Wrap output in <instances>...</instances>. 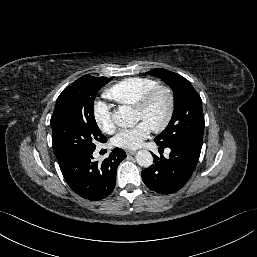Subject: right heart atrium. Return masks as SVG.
<instances>
[{"mask_svg":"<svg viewBox=\"0 0 257 257\" xmlns=\"http://www.w3.org/2000/svg\"><path fill=\"white\" fill-rule=\"evenodd\" d=\"M104 107L103 104H99ZM94 119L99 129L104 133H111L114 130V123L110 112L104 107L103 111L95 110Z\"/></svg>","mask_w":257,"mask_h":257,"instance_id":"obj_1","label":"right heart atrium"}]
</instances>
